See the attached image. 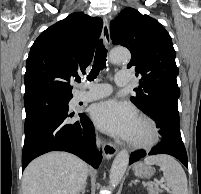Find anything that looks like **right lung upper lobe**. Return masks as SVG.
Returning <instances> with one entry per match:
<instances>
[{
	"instance_id": "right-lung-upper-lobe-1",
	"label": "right lung upper lobe",
	"mask_w": 201,
	"mask_h": 194,
	"mask_svg": "<svg viewBox=\"0 0 201 194\" xmlns=\"http://www.w3.org/2000/svg\"><path fill=\"white\" fill-rule=\"evenodd\" d=\"M103 21L84 13H72L52 25L31 47L24 75L25 95L52 92L70 95V84L91 63Z\"/></svg>"
}]
</instances>
